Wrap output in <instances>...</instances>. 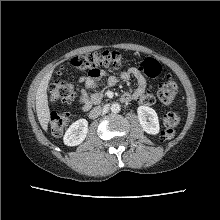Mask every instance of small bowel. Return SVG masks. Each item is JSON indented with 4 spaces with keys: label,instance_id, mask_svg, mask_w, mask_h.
Listing matches in <instances>:
<instances>
[{
    "label": "small bowel",
    "instance_id": "c3829d8e",
    "mask_svg": "<svg viewBox=\"0 0 220 220\" xmlns=\"http://www.w3.org/2000/svg\"><path fill=\"white\" fill-rule=\"evenodd\" d=\"M130 76H134L137 82V87L133 95L128 93L122 96H128L141 104H144L142 99L145 96L147 83L141 72L136 68L129 70H121L118 75L109 76L105 70L96 71L94 74H88L79 78V83L82 84L80 91V109L84 112L88 111L94 104L100 102L102 95L97 92L101 81L107 78L109 86L115 85L119 80H128Z\"/></svg>",
    "mask_w": 220,
    "mask_h": 220
}]
</instances>
